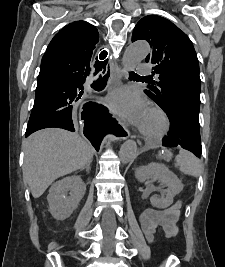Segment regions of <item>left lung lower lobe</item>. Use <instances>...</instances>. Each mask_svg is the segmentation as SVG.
I'll use <instances>...</instances> for the list:
<instances>
[{"label":"left lung lower lobe","instance_id":"1","mask_svg":"<svg viewBox=\"0 0 225 267\" xmlns=\"http://www.w3.org/2000/svg\"><path fill=\"white\" fill-rule=\"evenodd\" d=\"M200 94L188 91L182 93L172 104L170 131L163 139V146H181L200 157L202 153L199 125Z\"/></svg>","mask_w":225,"mask_h":267}]
</instances>
